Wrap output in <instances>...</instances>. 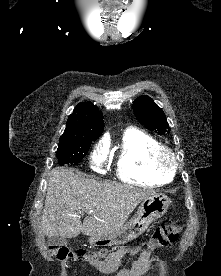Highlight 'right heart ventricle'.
<instances>
[{"instance_id":"obj_1","label":"right heart ventricle","mask_w":221,"mask_h":276,"mask_svg":"<svg viewBox=\"0 0 221 276\" xmlns=\"http://www.w3.org/2000/svg\"><path fill=\"white\" fill-rule=\"evenodd\" d=\"M159 142L139 129H127L117 150L116 173L127 183L160 185L169 182L172 175L157 172L150 163V153Z\"/></svg>"}]
</instances>
